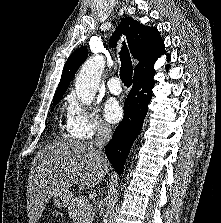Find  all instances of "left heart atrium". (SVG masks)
I'll use <instances>...</instances> for the list:
<instances>
[{
    "label": "left heart atrium",
    "mask_w": 221,
    "mask_h": 223,
    "mask_svg": "<svg viewBox=\"0 0 221 223\" xmlns=\"http://www.w3.org/2000/svg\"><path fill=\"white\" fill-rule=\"evenodd\" d=\"M124 111L119 102L115 99H109L104 105V115L108 122L118 123L123 117Z\"/></svg>",
    "instance_id": "1"
}]
</instances>
